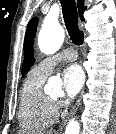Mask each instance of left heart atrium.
I'll use <instances>...</instances> for the list:
<instances>
[{"instance_id": "obj_1", "label": "left heart atrium", "mask_w": 116, "mask_h": 134, "mask_svg": "<svg viewBox=\"0 0 116 134\" xmlns=\"http://www.w3.org/2000/svg\"><path fill=\"white\" fill-rule=\"evenodd\" d=\"M62 81L65 96L67 98H74L84 86V71L77 64L70 65L64 69Z\"/></svg>"}]
</instances>
